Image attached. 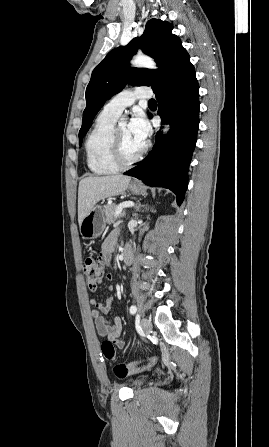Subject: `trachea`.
I'll list each match as a JSON object with an SVG mask.
<instances>
[{
  "label": "trachea",
  "instance_id": "obj_1",
  "mask_svg": "<svg viewBox=\"0 0 269 447\" xmlns=\"http://www.w3.org/2000/svg\"><path fill=\"white\" fill-rule=\"evenodd\" d=\"M149 105H157L156 100L154 99L149 100Z\"/></svg>",
  "mask_w": 269,
  "mask_h": 447
}]
</instances>
